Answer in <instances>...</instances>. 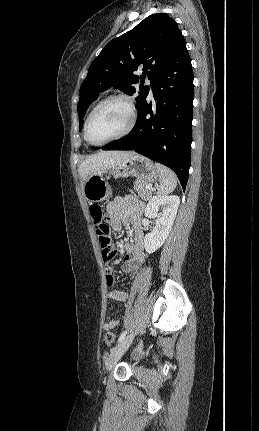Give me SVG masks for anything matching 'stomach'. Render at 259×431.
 I'll return each mask as SVG.
<instances>
[{"label":"stomach","mask_w":259,"mask_h":431,"mask_svg":"<svg viewBox=\"0 0 259 431\" xmlns=\"http://www.w3.org/2000/svg\"><path fill=\"white\" fill-rule=\"evenodd\" d=\"M104 173L114 178L135 176L145 183H154L158 180V171L153 162L141 155L134 154L119 165L108 169L101 174L90 176L83 185V193L89 202H101L112 195L111 187L104 178Z\"/></svg>","instance_id":"0dacf381"}]
</instances>
